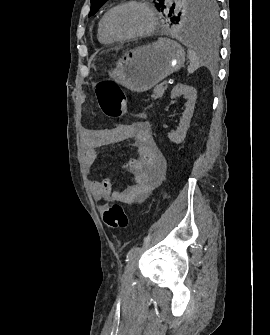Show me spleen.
<instances>
[{"mask_svg":"<svg viewBox=\"0 0 270 335\" xmlns=\"http://www.w3.org/2000/svg\"><path fill=\"white\" fill-rule=\"evenodd\" d=\"M187 46L188 58L191 62L190 66H188V72L189 74H193V72L199 68L203 60L208 62L209 54L207 46H205V44H201V42H194V44H187Z\"/></svg>","mask_w":270,"mask_h":335,"instance_id":"spleen-1","label":"spleen"}]
</instances>
